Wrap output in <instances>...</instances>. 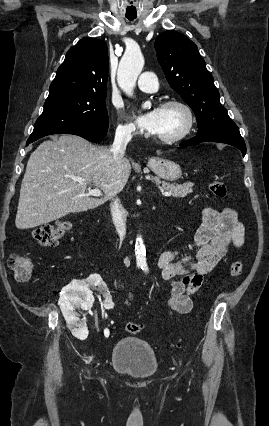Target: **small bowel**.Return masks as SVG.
I'll use <instances>...</instances> for the list:
<instances>
[{
	"mask_svg": "<svg viewBox=\"0 0 269 426\" xmlns=\"http://www.w3.org/2000/svg\"><path fill=\"white\" fill-rule=\"evenodd\" d=\"M244 240L245 229L235 210L204 208L189 250H165L157 257L162 278L172 286L167 306L181 314L190 312L192 295L200 289L203 277L215 268L229 249L243 246ZM127 290V304L130 305L134 294L129 288ZM104 333L108 334L106 330Z\"/></svg>",
	"mask_w": 269,
	"mask_h": 426,
	"instance_id": "obj_1",
	"label": "small bowel"
}]
</instances>
